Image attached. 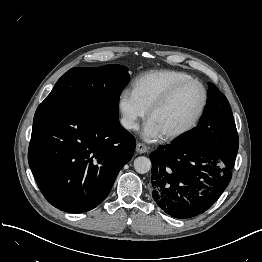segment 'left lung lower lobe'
<instances>
[{
  "instance_id": "obj_1",
  "label": "left lung lower lobe",
  "mask_w": 262,
  "mask_h": 262,
  "mask_svg": "<svg viewBox=\"0 0 262 262\" xmlns=\"http://www.w3.org/2000/svg\"><path fill=\"white\" fill-rule=\"evenodd\" d=\"M238 136H221L217 147L173 142L150 154L154 201L168 215L186 219L208 210L231 180Z\"/></svg>"
}]
</instances>
